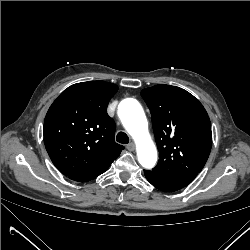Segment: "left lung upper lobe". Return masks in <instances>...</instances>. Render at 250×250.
Returning a JSON list of instances; mask_svg holds the SVG:
<instances>
[{"label":"left lung upper lobe","mask_w":250,"mask_h":250,"mask_svg":"<svg viewBox=\"0 0 250 250\" xmlns=\"http://www.w3.org/2000/svg\"><path fill=\"white\" fill-rule=\"evenodd\" d=\"M152 115L159 162L152 171L199 173L212 146L210 119L203 105L186 90L160 84L142 90Z\"/></svg>","instance_id":"obj_1"}]
</instances>
